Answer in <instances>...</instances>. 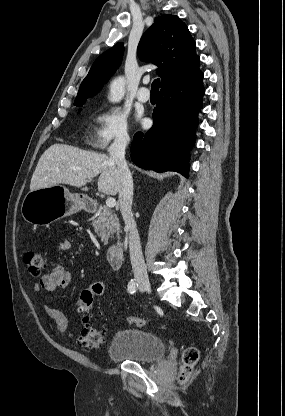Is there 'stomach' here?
I'll list each match as a JSON object with an SVG mask.
<instances>
[{
    "label": "stomach",
    "instance_id": "1",
    "mask_svg": "<svg viewBox=\"0 0 285 416\" xmlns=\"http://www.w3.org/2000/svg\"><path fill=\"white\" fill-rule=\"evenodd\" d=\"M82 208L83 202L79 194H70L68 188L57 184L28 192L23 200L21 214L29 224L47 226L60 218L76 214Z\"/></svg>",
    "mask_w": 285,
    "mask_h": 416
}]
</instances>
